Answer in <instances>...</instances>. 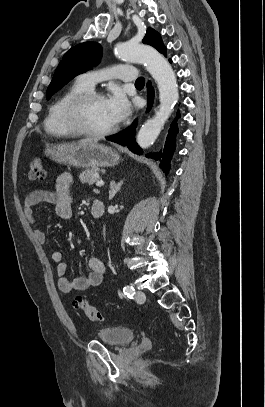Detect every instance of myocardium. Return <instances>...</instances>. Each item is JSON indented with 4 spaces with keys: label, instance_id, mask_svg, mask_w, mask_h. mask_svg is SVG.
Returning <instances> with one entry per match:
<instances>
[{
    "label": "myocardium",
    "instance_id": "myocardium-1",
    "mask_svg": "<svg viewBox=\"0 0 265 407\" xmlns=\"http://www.w3.org/2000/svg\"><path fill=\"white\" fill-rule=\"evenodd\" d=\"M105 99V97L98 92L87 91L85 93L74 96L68 101L63 111V120L65 125L76 135L90 137V138H104L117 131V125L103 130L93 131L88 129L83 123L84 109L93 101Z\"/></svg>",
    "mask_w": 265,
    "mask_h": 407
}]
</instances>
